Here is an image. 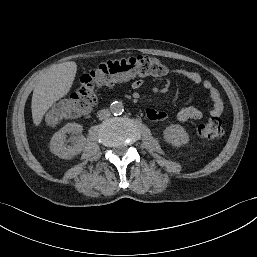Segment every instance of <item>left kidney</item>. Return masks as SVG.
I'll return each mask as SVG.
<instances>
[{
	"instance_id": "obj_1",
	"label": "left kidney",
	"mask_w": 257,
	"mask_h": 257,
	"mask_svg": "<svg viewBox=\"0 0 257 257\" xmlns=\"http://www.w3.org/2000/svg\"><path fill=\"white\" fill-rule=\"evenodd\" d=\"M164 139L175 147H180L189 142V136L185 129L178 124L170 125L164 130Z\"/></svg>"
}]
</instances>
